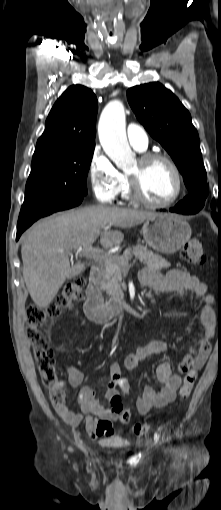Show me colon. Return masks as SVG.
I'll return each instance as SVG.
<instances>
[{
	"mask_svg": "<svg viewBox=\"0 0 221 510\" xmlns=\"http://www.w3.org/2000/svg\"><path fill=\"white\" fill-rule=\"evenodd\" d=\"M183 260L192 264L202 265L206 262V253L201 243L196 239H190L181 250ZM86 286V280L82 276L74 277L67 282L55 302L47 307L30 306L27 309V336L32 342L35 362L38 373L49 389V400L56 410H62L66 406V394L64 384L58 378L55 369L54 354L51 349V343L47 335L41 330L50 319L60 317L64 312L70 310L73 305L81 300L83 289ZM197 374L195 371H188L185 374L183 384L179 390V398L185 401L189 398L193 386L196 382ZM118 385L123 386L122 378H117ZM111 406L120 414V420L124 423L130 420L129 410L123 409L121 405L120 394H115L110 399ZM150 431L148 423H138L134 426V433L137 436H144Z\"/></svg>",
	"mask_w": 221,
	"mask_h": 510,
	"instance_id": "1",
	"label": "colon"
}]
</instances>
